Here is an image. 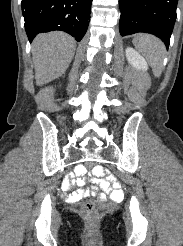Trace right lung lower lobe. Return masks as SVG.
<instances>
[{
    "mask_svg": "<svg viewBox=\"0 0 183 246\" xmlns=\"http://www.w3.org/2000/svg\"><path fill=\"white\" fill-rule=\"evenodd\" d=\"M92 0H22L29 41L41 32L64 31L78 42L85 35Z\"/></svg>",
    "mask_w": 183,
    "mask_h": 246,
    "instance_id": "right-lung-lower-lobe-1",
    "label": "right lung lower lobe"
}]
</instances>
